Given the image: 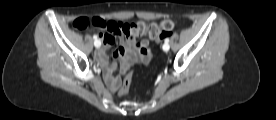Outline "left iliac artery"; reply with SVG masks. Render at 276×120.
<instances>
[{
    "instance_id": "left-iliac-artery-1",
    "label": "left iliac artery",
    "mask_w": 276,
    "mask_h": 120,
    "mask_svg": "<svg viewBox=\"0 0 276 120\" xmlns=\"http://www.w3.org/2000/svg\"><path fill=\"white\" fill-rule=\"evenodd\" d=\"M169 43V39H165V44H168Z\"/></svg>"
}]
</instances>
